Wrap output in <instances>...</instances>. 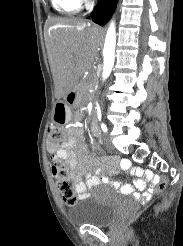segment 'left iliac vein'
<instances>
[{
  "label": "left iliac vein",
  "instance_id": "left-iliac-vein-1",
  "mask_svg": "<svg viewBox=\"0 0 183 246\" xmlns=\"http://www.w3.org/2000/svg\"><path fill=\"white\" fill-rule=\"evenodd\" d=\"M103 142H104L106 148L113 149V145H112V142H111V137L109 135L106 134L103 137Z\"/></svg>",
  "mask_w": 183,
  "mask_h": 246
}]
</instances>
